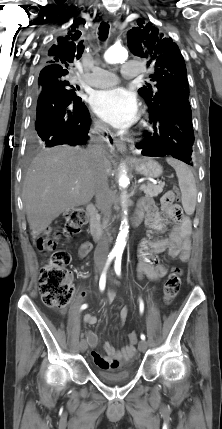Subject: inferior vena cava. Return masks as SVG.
I'll list each match as a JSON object with an SVG mask.
<instances>
[{"instance_id":"inferior-vena-cava-1","label":"inferior vena cava","mask_w":222,"mask_h":429,"mask_svg":"<svg viewBox=\"0 0 222 429\" xmlns=\"http://www.w3.org/2000/svg\"><path fill=\"white\" fill-rule=\"evenodd\" d=\"M109 131L106 124L102 122H95L91 130L90 138L91 142L94 144L89 145L87 153L92 158H100L104 151V136L103 133ZM95 197L96 202L103 214L104 221L106 222L105 232L101 241L98 243L95 252L94 259L95 261H105L109 253V244H110V221H111V198L110 191L108 186V180L106 175L102 170L98 171L96 177L95 185Z\"/></svg>"}]
</instances>
